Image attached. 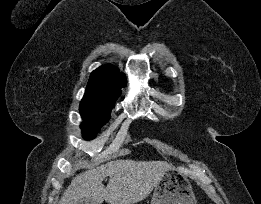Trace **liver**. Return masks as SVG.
<instances>
[{"label":"liver","instance_id":"liver-1","mask_svg":"<svg viewBox=\"0 0 261 204\" xmlns=\"http://www.w3.org/2000/svg\"><path fill=\"white\" fill-rule=\"evenodd\" d=\"M173 167L163 161L114 160L74 177L59 204H77L93 199L98 204H134L144 200ZM109 176L105 188L102 181Z\"/></svg>","mask_w":261,"mask_h":204}]
</instances>
